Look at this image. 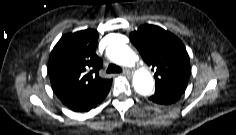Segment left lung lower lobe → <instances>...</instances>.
<instances>
[{
    "label": "left lung lower lobe",
    "instance_id": "obj_1",
    "mask_svg": "<svg viewBox=\"0 0 236 135\" xmlns=\"http://www.w3.org/2000/svg\"><path fill=\"white\" fill-rule=\"evenodd\" d=\"M187 84L177 83L156 87L155 94L149 97L154 103L169 105L175 103L184 93Z\"/></svg>",
    "mask_w": 236,
    "mask_h": 135
}]
</instances>
